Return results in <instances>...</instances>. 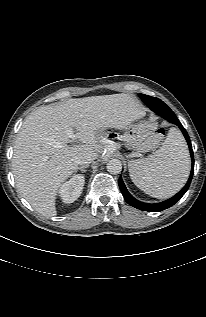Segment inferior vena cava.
Here are the masks:
<instances>
[{"label": "inferior vena cava", "instance_id": "obj_1", "mask_svg": "<svg viewBox=\"0 0 206 317\" xmlns=\"http://www.w3.org/2000/svg\"><path fill=\"white\" fill-rule=\"evenodd\" d=\"M97 157L96 153L86 152L76 158L78 165H88Z\"/></svg>", "mask_w": 206, "mask_h": 317}]
</instances>
